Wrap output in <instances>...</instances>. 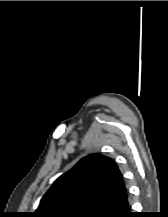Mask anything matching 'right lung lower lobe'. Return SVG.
I'll list each match as a JSON object with an SVG mask.
<instances>
[{"mask_svg": "<svg viewBox=\"0 0 168 217\" xmlns=\"http://www.w3.org/2000/svg\"><path fill=\"white\" fill-rule=\"evenodd\" d=\"M105 217H137V215L130 211L129 202H126L108 215H105Z\"/></svg>", "mask_w": 168, "mask_h": 217, "instance_id": "right-lung-lower-lobe-1", "label": "right lung lower lobe"}]
</instances>
